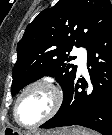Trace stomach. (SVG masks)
<instances>
[{"mask_svg":"<svg viewBox=\"0 0 112 135\" xmlns=\"http://www.w3.org/2000/svg\"><path fill=\"white\" fill-rule=\"evenodd\" d=\"M82 132L79 128H63L58 131H51V132H29L26 134H22L17 130H13L11 128H5L2 132V135H80Z\"/></svg>","mask_w":112,"mask_h":135,"instance_id":"obj_1","label":"stomach"}]
</instances>
